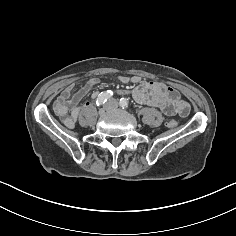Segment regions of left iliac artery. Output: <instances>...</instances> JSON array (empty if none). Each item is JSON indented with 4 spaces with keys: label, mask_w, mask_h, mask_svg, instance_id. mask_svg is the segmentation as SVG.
<instances>
[{
    "label": "left iliac artery",
    "mask_w": 236,
    "mask_h": 236,
    "mask_svg": "<svg viewBox=\"0 0 236 236\" xmlns=\"http://www.w3.org/2000/svg\"><path fill=\"white\" fill-rule=\"evenodd\" d=\"M119 104L123 109L128 108L129 106L128 100L126 98H121Z\"/></svg>",
    "instance_id": "left-iliac-artery-1"
}]
</instances>
